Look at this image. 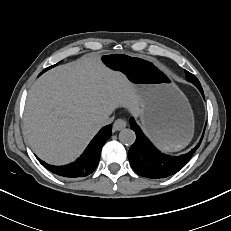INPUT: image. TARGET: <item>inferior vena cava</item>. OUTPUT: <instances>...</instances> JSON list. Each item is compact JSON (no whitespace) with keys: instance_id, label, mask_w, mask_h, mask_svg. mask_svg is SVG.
<instances>
[{"instance_id":"1","label":"inferior vena cava","mask_w":231,"mask_h":231,"mask_svg":"<svg viewBox=\"0 0 231 231\" xmlns=\"http://www.w3.org/2000/svg\"><path fill=\"white\" fill-rule=\"evenodd\" d=\"M113 120H114V117H110V115H106L100 119L99 124L102 127V126L112 123Z\"/></svg>"}]
</instances>
